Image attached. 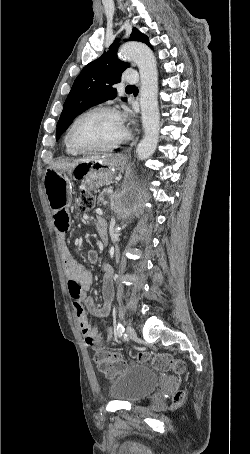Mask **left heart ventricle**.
I'll use <instances>...</instances> for the list:
<instances>
[{
    "instance_id": "left-heart-ventricle-1",
    "label": "left heart ventricle",
    "mask_w": 250,
    "mask_h": 454,
    "mask_svg": "<svg viewBox=\"0 0 250 454\" xmlns=\"http://www.w3.org/2000/svg\"><path fill=\"white\" fill-rule=\"evenodd\" d=\"M122 132L120 117L111 112L101 111L83 118L74 130L73 139L80 147H100L112 143Z\"/></svg>"
}]
</instances>
